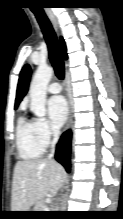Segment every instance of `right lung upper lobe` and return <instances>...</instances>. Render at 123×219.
Wrapping results in <instances>:
<instances>
[{"label": "right lung upper lobe", "instance_id": "right-lung-upper-lobe-1", "mask_svg": "<svg viewBox=\"0 0 123 219\" xmlns=\"http://www.w3.org/2000/svg\"><path fill=\"white\" fill-rule=\"evenodd\" d=\"M60 42H61V49H62L63 55L65 59H67L66 45L62 37L60 38ZM30 75H31L30 66L25 65L21 71L20 78H19L16 100H15V109L18 107L19 103L21 102V100L23 99V97L28 91Z\"/></svg>", "mask_w": 123, "mask_h": 219}]
</instances>
